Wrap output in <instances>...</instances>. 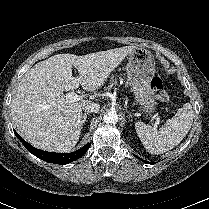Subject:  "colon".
I'll use <instances>...</instances> for the list:
<instances>
[{
    "label": "colon",
    "mask_w": 209,
    "mask_h": 209,
    "mask_svg": "<svg viewBox=\"0 0 209 209\" xmlns=\"http://www.w3.org/2000/svg\"><path fill=\"white\" fill-rule=\"evenodd\" d=\"M150 87L153 95L161 101L167 102L169 97L163 88V83L159 77H153L150 82Z\"/></svg>",
    "instance_id": "colon-1"
}]
</instances>
